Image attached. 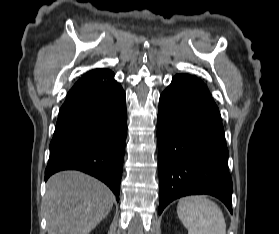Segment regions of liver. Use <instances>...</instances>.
<instances>
[{
    "mask_svg": "<svg viewBox=\"0 0 279 234\" xmlns=\"http://www.w3.org/2000/svg\"><path fill=\"white\" fill-rule=\"evenodd\" d=\"M110 189L84 173L63 171L47 182L45 210L48 234H88L111 211Z\"/></svg>",
    "mask_w": 279,
    "mask_h": 234,
    "instance_id": "6515ba94",
    "label": "liver"
}]
</instances>
